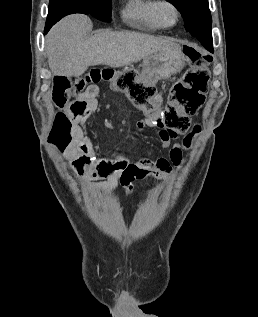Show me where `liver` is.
<instances>
[{
    "label": "liver",
    "instance_id": "obj_1",
    "mask_svg": "<svg viewBox=\"0 0 258 317\" xmlns=\"http://www.w3.org/2000/svg\"><path fill=\"white\" fill-rule=\"evenodd\" d=\"M86 14H68L46 34L48 64L54 74L81 76L91 64L125 66L137 62L152 52L171 50L179 46L176 38H158L144 32L96 30Z\"/></svg>",
    "mask_w": 258,
    "mask_h": 317
}]
</instances>
